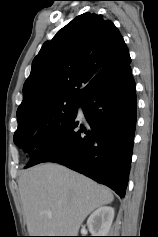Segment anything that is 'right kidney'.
Listing matches in <instances>:
<instances>
[{
    "mask_svg": "<svg viewBox=\"0 0 158 237\" xmlns=\"http://www.w3.org/2000/svg\"><path fill=\"white\" fill-rule=\"evenodd\" d=\"M114 219V209L102 206L95 210L87 220V226L92 236H107Z\"/></svg>",
    "mask_w": 158,
    "mask_h": 237,
    "instance_id": "1",
    "label": "right kidney"
}]
</instances>
